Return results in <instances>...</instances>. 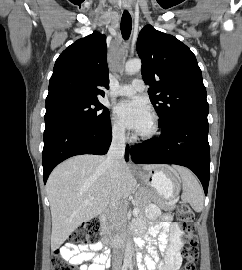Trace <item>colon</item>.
Masks as SVG:
<instances>
[{"label": "colon", "mask_w": 242, "mask_h": 270, "mask_svg": "<svg viewBox=\"0 0 242 270\" xmlns=\"http://www.w3.org/2000/svg\"><path fill=\"white\" fill-rule=\"evenodd\" d=\"M175 215L182 223L184 229V246L182 256L185 259L183 270H195V262L198 258V241L194 227V213L187 204H179L175 209ZM101 222L97 219L90 220L75 230L68 240V245H80L88 241L96 240L101 235ZM62 249L55 251L52 258L53 270H76L75 265L69 263L62 254Z\"/></svg>", "instance_id": "5ec220e1"}]
</instances>
